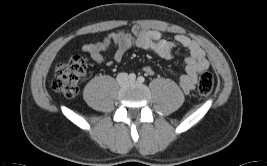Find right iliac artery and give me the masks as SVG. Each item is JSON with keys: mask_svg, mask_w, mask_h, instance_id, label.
Segmentation results:
<instances>
[{"mask_svg": "<svg viewBox=\"0 0 267 166\" xmlns=\"http://www.w3.org/2000/svg\"><path fill=\"white\" fill-rule=\"evenodd\" d=\"M129 79L130 80H135L136 79V75L134 73L129 74Z\"/></svg>", "mask_w": 267, "mask_h": 166, "instance_id": "obj_1", "label": "right iliac artery"}]
</instances>
